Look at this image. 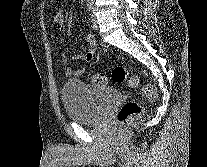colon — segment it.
Masks as SVG:
<instances>
[{"instance_id":"colon-1","label":"colon","mask_w":207,"mask_h":167,"mask_svg":"<svg viewBox=\"0 0 207 167\" xmlns=\"http://www.w3.org/2000/svg\"><path fill=\"white\" fill-rule=\"evenodd\" d=\"M112 80L115 83L121 84L128 82L131 88H138L140 94L147 100L153 101L157 97L155 87L149 83L141 81L139 76L132 74L128 68L124 66H116L112 70ZM91 82L96 86H106L108 78L104 74L96 73L91 76ZM143 106L133 100L127 101L122 105L117 114V119L120 123H124L134 117L141 115Z\"/></svg>"}]
</instances>
